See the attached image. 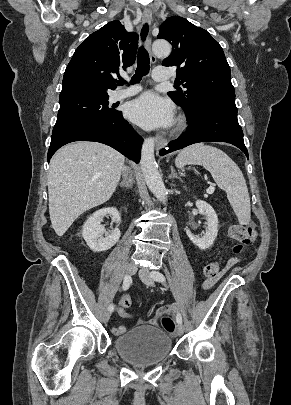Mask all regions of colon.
Masks as SVG:
<instances>
[{"instance_id": "1", "label": "colon", "mask_w": 291, "mask_h": 405, "mask_svg": "<svg viewBox=\"0 0 291 405\" xmlns=\"http://www.w3.org/2000/svg\"><path fill=\"white\" fill-rule=\"evenodd\" d=\"M254 228L251 225H232L229 228L230 237L236 242L232 248L234 254L241 253L244 248L251 242L253 237ZM221 269V263L219 261H213L207 263L203 267V275L208 280H214L218 277ZM120 304L124 308H128L131 305V298L125 295L121 298ZM161 324L163 328L169 332L173 333L175 331V322L172 317L164 315L161 318Z\"/></svg>"}]
</instances>
